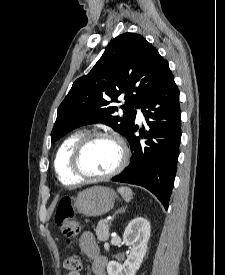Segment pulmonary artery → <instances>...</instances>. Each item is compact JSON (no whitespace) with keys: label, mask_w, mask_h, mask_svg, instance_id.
Masks as SVG:
<instances>
[{"label":"pulmonary artery","mask_w":225,"mask_h":275,"mask_svg":"<svg viewBox=\"0 0 225 275\" xmlns=\"http://www.w3.org/2000/svg\"><path fill=\"white\" fill-rule=\"evenodd\" d=\"M137 119L139 121L143 120V113L140 109L137 110Z\"/></svg>","instance_id":"1"}]
</instances>
